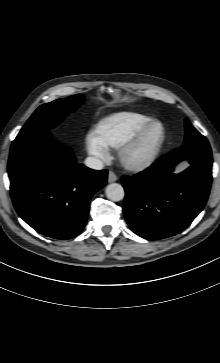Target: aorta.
I'll list each match as a JSON object with an SVG mask.
<instances>
[{
	"label": "aorta",
	"instance_id": "762f6f07",
	"mask_svg": "<svg viewBox=\"0 0 220 363\" xmlns=\"http://www.w3.org/2000/svg\"><path fill=\"white\" fill-rule=\"evenodd\" d=\"M105 193L107 198L112 201H120L125 196L124 188L118 183L109 184L105 189Z\"/></svg>",
	"mask_w": 220,
	"mask_h": 363
}]
</instances>
